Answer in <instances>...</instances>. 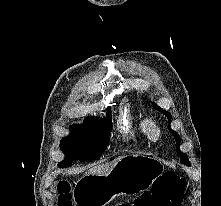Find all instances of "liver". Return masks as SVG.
Returning a JSON list of instances; mask_svg holds the SVG:
<instances>
[{
    "label": "liver",
    "instance_id": "liver-1",
    "mask_svg": "<svg viewBox=\"0 0 221 206\" xmlns=\"http://www.w3.org/2000/svg\"><path fill=\"white\" fill-rule=\"evenodd\" d=\"M122 157H119L115 160H113L110 163L102 164V165H97L94 167H91L86 174L89 175H106L108 174L111 169L115 166V164L121 159Z\"/></svg>",
    "mask_w": 221,
    "mask_h": 206
}]
</instances>
